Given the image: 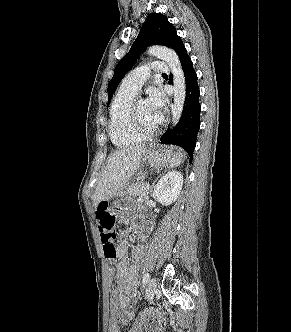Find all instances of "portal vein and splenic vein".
<instances>
[{
  "mask_svg": "<svg viewBox=\"0 0 291 332\" xmlns=\"http://www.w3.org/2000/svg\"><path fill=\"white\" fill-rule=\"evenodd\" d=\"M144 199V197H139L138 201H142Z\"/></svg>",
  "mask_w": 291,
  "mask_h": 332,
  "instance_id": "18ae733b",
  "label": "portal vein and splenic vein"
}]
</instances>
